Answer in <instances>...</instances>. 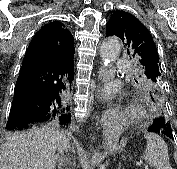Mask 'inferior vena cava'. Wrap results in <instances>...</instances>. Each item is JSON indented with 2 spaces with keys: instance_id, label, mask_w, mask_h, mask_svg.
Segmentation results:
<instances>
[{
  "instance_id": "inferior-vena-cava-1",
  "label": "inferior vena cava",
  "mask_w": 177,
  "mask_h": 169,
  "mask_svg": "<svg viewBox=\"0 0 177 169\" xmlns=\"http://www.w3.org/2000/svg\"><path fill=\"white\" fill-rule=\"evenodd\" d=\"M68 148H70L69 139L65 137L59 146V150H67Z\"/></svg>"
}]
</instances>
